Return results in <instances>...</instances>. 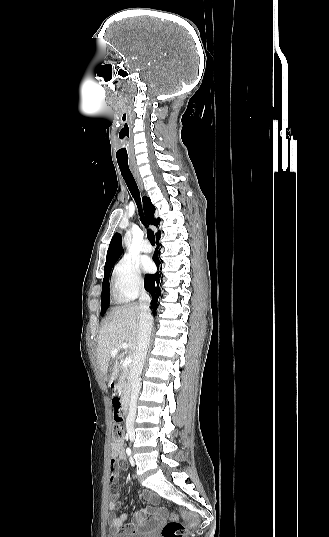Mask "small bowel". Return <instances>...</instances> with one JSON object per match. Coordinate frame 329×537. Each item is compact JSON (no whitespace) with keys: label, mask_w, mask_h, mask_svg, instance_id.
<instances>
[{"label":"small bowel","mask_w":329,"mask_h":537,"mask_svg":"<svg viewBox=\"0 0 329 537\" xmlns=\"http://www.w3.org/2000/svg\"><path fill=\"white\" fill-rule=\"evenodd\" d=\"M113 408V417L112 420L114 423L119 424L122 422L123 417L120 412L119 405L114 403ZM125 460V452L123 441L120 443H112L111 445V459L109 464L110 470V480L113 485L109 496L108 508L110 510L109 523L110 527L119 531L122 530L126 533H138V532H147L154 530L158 525L164 520L167 516V511L163 507L156 506L158 504V497L150 492H144L143 497L151 502L154 507H148L144 511H140L134 514L133 520L127 522L128 515L126 513L121 514L120 516L115 515V511L119 509L120 502L119 492L116 489V485L119 480V471L122 468V463Z\"/></svg>","instance_id":"c3829d8e"}]
</instances>
